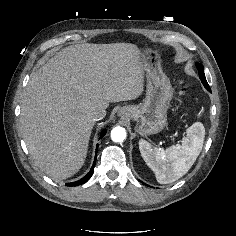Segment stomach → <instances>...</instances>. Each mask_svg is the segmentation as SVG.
Masks as SVG:
<instances>
[{
  "mask_svg": "<svg viewBox=\"0 0 236 236\" xmlns=\"http://www.w3.org/2000/svg\"><path fill=\"white\" fill-rule=\"evenodd\" d=\"M142 55L148 63L146 97L139 105L125 106L120 112L122 114L126 112L129 119L136 121V132L146 136L157 134L166 126L167 110L173 97V88L169 78L160 68L158 51L147 49Z\"/></svg>",
  "mask_w": 236,
  "mask_h": 236,
  "instance_id": "stomach-1",
  "label": "stomach"
}]
</instances>
